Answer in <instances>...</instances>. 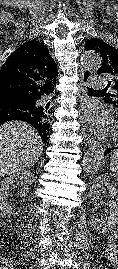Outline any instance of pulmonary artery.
<instances>
[{
    "label": "pulmonary artery",
    "instance_id": "obj_1",
    "mask_svg": "<svg viewBox=\"0 0 118 269\" xmlns=\"http://www.w3.org/2000/svg\"><path fill=\"white\" fill-rule=\"evenodd\" d=\"M90 85L95 89H102L106 86V81L102 77L96 76L92 78Z\"/></svg>",
    "mask_w": 118,
    "mask_h": 269
}]
</instances>
